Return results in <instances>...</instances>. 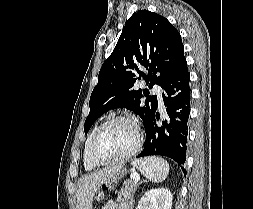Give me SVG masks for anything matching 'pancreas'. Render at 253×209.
I'll use <instances>...</instances> for the list:
<instances>
[{
    "label": "pancreas",
    "mask_w": 253,
    "mask_h": 209,
    "mask_svg": "<svg viewBox=\"0 0 253 209\" xmlns=\"http://www.w3.org/2000/svg\"><path fill=\"white\" fill-rule=\"evenodd\" d=\"M136 191V182L132 180H127L124 182L121 190L118 192L117 201L122 202L126 201L133 197L134 192Z\"/></svg>",
    "instance_id": "obj_1"
}]
</instances>
